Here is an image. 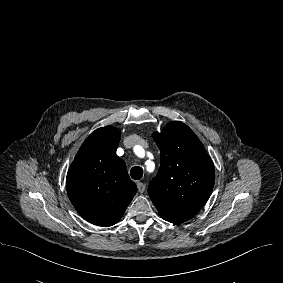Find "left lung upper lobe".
<instances>
[{
  "label": "left lung upper lobe",
  "mask_w": 283,
  "mask_h": 283,
  "mask_svg": "<svg viewBox=\"0 0 283 283\" xmlns=\"http://www.w3.org/2000/svg\"><path fill=\"white\" fill-rule=\"evenodd\" d=\"M153 138L161 166L148 193L164 220L180 224L194 217L210 197L214 165L198 137L182 122L168 123Z\"/></svg>",
  "instance_id": "left-lung-upper-lobe-1"
}]
</instances>
